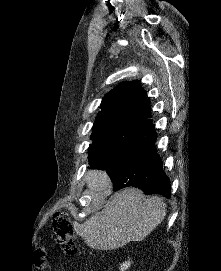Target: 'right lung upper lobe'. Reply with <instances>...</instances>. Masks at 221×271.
I'll return each instance as SVG.
<instances>
[{
	"instance_id": "right-lung-upper-lobe-1",
	"label": "right lung upper lobe",
	"mask_w": 221,
	"mask_h": 271,
	"mask_svg": "<svg viewBox=\"0 0 221 271\" xmlns=\"http://www.w3.org/2000/svg\"><path fill=\"white\" fill-rule=\"evenodd\" d=\"M139 81L122 82L107 93L101 103L93 132L103 129H134L150 131V105Z\"/></svg>"
}]
</instances>
